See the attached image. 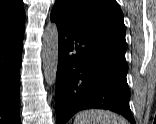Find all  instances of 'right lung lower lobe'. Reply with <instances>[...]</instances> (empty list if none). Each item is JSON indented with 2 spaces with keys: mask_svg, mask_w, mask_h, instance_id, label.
I'll return each instance as SVG.
<instances>
[{
  "mask_svg": "<svg viewBox=\"0 0 156 124\" xmlns=\"http://www.w3.org/2000/svg\"><path fill=\"white\" fill-rule=\"evenodd\" d=\"M23 35L24 27L0 30V124H21L18 104Z\"/></svg>",
  "mask_w": 156,
  "mask_h": 124,
  "instance_id": "1",
  "label": "right lung lower lobe"
}]
</instances>
